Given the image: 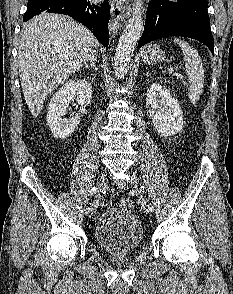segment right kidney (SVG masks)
Segmentation results:
<instances>
[{
    "label": "right kidney",
    "mask_w": 233,
    "mask_h": 294,
    "mask_svg": "<svg viewBox=\"0 0 233 294\" xmlns=\"http://www.w3.org/2000/svg\"><path fill=\"white\" fill-rule=\"evenodd\" d=\"M81 107H86L92 100V87L90 82L81 79H73L65 83L52 97L48 106L47 123L52 134L58 139H66L78 126L80 116L75 115L69 120H64L66 107L74 101Z\"/></svg>",
    "instance_id": "1"
}]
</instances>
